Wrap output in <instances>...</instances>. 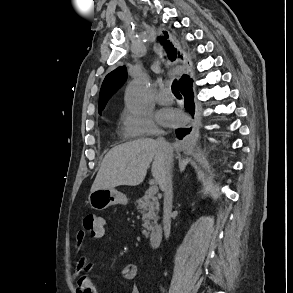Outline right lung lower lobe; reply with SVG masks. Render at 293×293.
<instances>
[{"label": "right lung lower lobe", "mask_w": 293, "mask_h": 293, "mask_svg": "<svg viewBox=\"0 0 293 293\" xmlns=\"http://www.w3.org/2000/svg\"><path fill=\"white\" fill-rule=\"evenodd\" d=\"M192 83V79L186 80L182 85H180V90L181 93L184 95L185 108L193 116L195 105L193 101ZM189 132L190 130L186 128H179L176 130V134L179 139H182L183 136H185V134H188Z\"/></svg>", "instance_id": "right-lung-lower-lobe-1"}]
</instances>
